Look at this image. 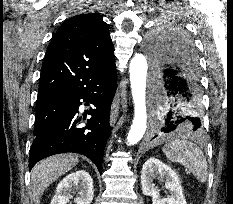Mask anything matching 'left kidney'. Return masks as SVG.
Wrapping results in <instances>:
<instances>
[{
    "mask_svg": "<svg viewBox=\"0 0 233 204\" xmlns=\"http://www.w3.org/2000/svg\"><path fill=\"white\" fill-rule=\"evenodd\" d=\"M155 179L165 181V187L170 195L162 198L158 187L153 183ZM142 192L152 197V204H187L177 173L168 165L155 157L149 158L141 170Z\"/></svg>",
    "mask_w": 233,
    "mask_h": 204,
    "instance_id": "1",
    "label": "left kidney"
}]
</instances>
